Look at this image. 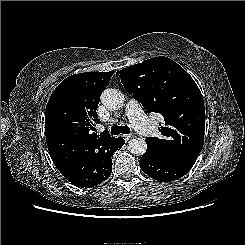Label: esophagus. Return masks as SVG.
<instances>
[{
  "label": "esophagus",
  "instance_id": "esophagus-1",
  "mask_svg": "<svg viewBox=\"0 0 245 245\" xmlns=\"http://www.w3.org/2000/svg\"><path fill=\"white\" fill-rule=\"evenodd\" d=\"M134 137H135L134 134H127V135H124V138H125L126 141L131 140V139H133Z\"/></svg>",
  "mask_w": 245,
  "mask_h": 245
}]
</instances>
